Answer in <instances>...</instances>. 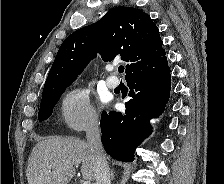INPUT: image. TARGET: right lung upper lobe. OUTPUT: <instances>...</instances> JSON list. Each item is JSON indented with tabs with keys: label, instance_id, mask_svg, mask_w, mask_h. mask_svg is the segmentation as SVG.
Masks as SVG:
<instances>
[{
	"label": "right lung upper lobe",
	"instance_id": "1",
	"mask_svg": "<svg viewBox=\"0 0 224 184\" xmlns=\"http://www.w3.org/2000/svg\"><path fill=\"white\" fill-rule=\"evenodd\" d=\"M162 44L157 26L145 12L133 7L113 8L98 22L65 39L42 97L69 86L97 53L106 62L120 55L127 63L125 79L154 69L167 61Z\"/></svg>",
	"mask_w": 224,
	"mask_h": 184
}]
</instances>
